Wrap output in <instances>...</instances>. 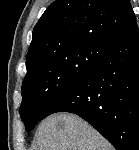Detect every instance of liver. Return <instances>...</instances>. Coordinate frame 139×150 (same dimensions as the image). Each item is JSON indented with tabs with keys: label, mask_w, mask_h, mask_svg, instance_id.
I'll return each mask as SVG.
<instances>
[{
	"label": "liver",
	"mask_w": 139,
	"mask_h": 150,
	"mask_svg": "<svg viewBox=\"0 0 139 150\" xmlns=\"http://www.w3.org/2000/svg\"><path fill=\"white\" fill-rule=\"evenodd\" d=\"M35 137L36 150H113L94 128L74 114L47 117Z\"/></svg>",
	"instance_id": "6515ba94"
}]
</instances>
